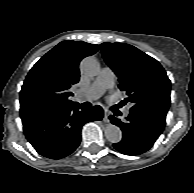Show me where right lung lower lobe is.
Segmentation results:
<instances>
[{"instance_id":"1","label":"right lung lower lobe","mask_w":194,"mask_h":193,"mask_svg":"<svg viewBox=\"0 0 194 193\" xmlns=\"http://www.w3.org/2000/svg\"><path fill=\"white\" fill-rule=\"evenodd\" d=\"M102 117L100 106L86 110L75 103L56 111L22 118V123L27 140L39 154L60 159L78 147L82 126L87 122L101 120Z\"/></svg>"}]
</instances>
